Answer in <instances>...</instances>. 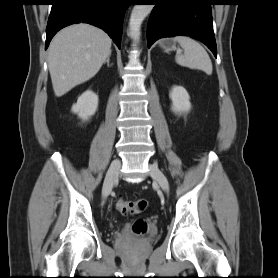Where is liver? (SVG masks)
Here are the masks:
<instances>
[{
  "label": "liver",
  "mask_w": 278,
  "mask_h": 278,
  "mask_svg": "<svg viewBox=\"0 0 278 278\" xmlns=\"http://www.w3.org/2000/svg\"><path fill=\"white\" fill-rule=\"evenodd\" d=\"M112 40L103 30L79 23L59 31L49 46L53 90L61 97L94 77L111 54Z\"/></svg>",
  "instance_id": "6515ba94"
}]
</instances>
